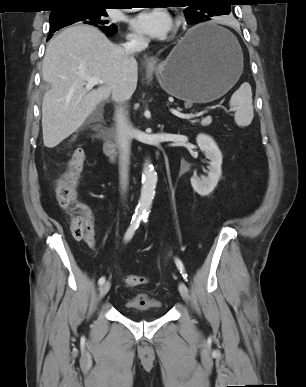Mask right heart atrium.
Returning <instances> with one entry per match:
<instances>
[{
  "label": "right heart atrium",
  "mask_w": 306,
  "mask_h": 387,
  "mask_svg": "<svg viewBox=\"0 0 306 387\" xmlns=\"http://www.w3.org/2000/svg\"><path fill=\"white\" fill-rule=\"evenodd\" d=\"M127 38H128L130 41H133V42H137V41H140V40H141V36H139L138 34H135V33H130V34H128Z\"/></svg>",
  "instance_id": "d8ad5b80"
}]
</instances>
